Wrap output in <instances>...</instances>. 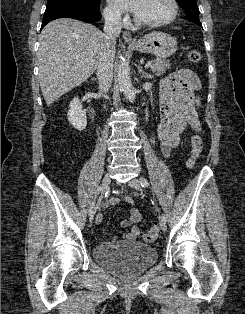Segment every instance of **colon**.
Listing matches in <instances>:
<instances>
[{"label": "colon", "mask_w": 245, "mask_h": 314, "mask_svg": "<svg viewBox=\"0 0 245 314\" xmlns=\"http://www.w3.org/2000/svg\"><path fill=\"white\" fill-rule=\"evenodd\" d=\"M188 60L191 63H198L201 60V53L197 50H191L188 53ZM203 149V141L200 136L194 135L191 138V155L188 161V166L192 167L196 159L199 157ZM159 233L157 225L152 226L148 231L142 235V239L145 242H153Z\"/></svg>", "instance_id": "1"}]
</instances>
